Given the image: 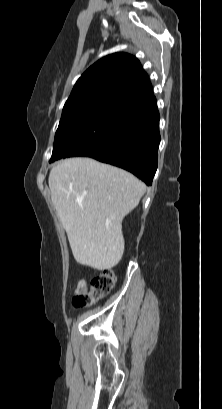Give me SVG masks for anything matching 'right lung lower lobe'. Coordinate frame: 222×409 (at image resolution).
Wrapping results in <instances>:
<instances>
[{"label": "right lung lower lobe", "mask_w": 222, "mask_h": 409, "mask_svg": "<svg viewBox=\"0 0 222 409\" xmlns=\"http://www.w3.org/2000/svg\"><path fill=\"white\" fill-rule=\"evenodd\" d=\"M159 119L155 98L126 107L99 147L86 156L130 171L151 185L157 170Z\"/></svg>", "instance_id": "obj_1"}]
</instances>
